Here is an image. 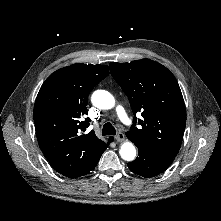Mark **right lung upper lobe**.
I'll return each mask as SVG.
<instances>
[{"label": "right lung upper lobe", "mask_w": 221, "mask_h": 221, "mask_svg": "<svg viewBox=\"0 0 221 221\" xmlns=\"http://www.w3.org/2000/svg\"><path fill=\"white\" fill-rule=\"evenodd\" d=\"M109 74L105 65L76 63L52 73L41 86L34 105L39 146L60 174L81 176L107 147L89 126L88 96Z\"/></svg>", "instance_id": "right-lung-upper-lobe-1"}]
</instances>
